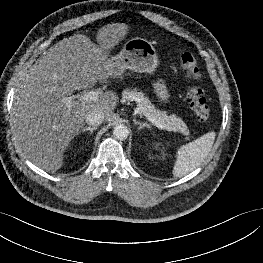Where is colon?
<instances>
[{
	"label": "colon",
	"instance_id": "colon-1",
	"mask_svg": "<svg viewBox=\"0 0 263 263\" xmlns=\"http://www.w3.org/2000/svg\"><path fill=\"white\" fill-rule=\"evenodd\" d=\"M181 66L185 70L190 80L197 81L200 79V71L196 56L188 51L183 50L180 55ZM186 100L200 122H208L211 118V110L207 103L204 90L199 85H192L186 93Z\"/></svg>",
	"mask_w": 263,
	"mask_h": 263
}]
</instances>
